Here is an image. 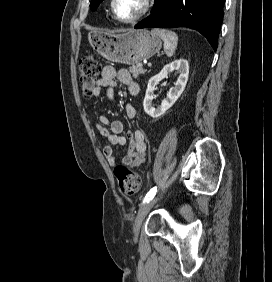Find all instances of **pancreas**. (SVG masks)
Here are the masks:
<instances>
[{"instance_id":"pancreas-1","label":"pancreas","mask_w":272,"mask_h":282,"mask_svg":"<svg viewBox=\"0 0 272 282\" xmlns=\"http://www.w3.org/2000/svg\"><path fill=\"white\" fill-rule=\"evenodd\" d=\"M129 71L132 73L134 78H138L140 74H144L146 72L141 63L129 67Z\"/></svg>"}]
</instances>
